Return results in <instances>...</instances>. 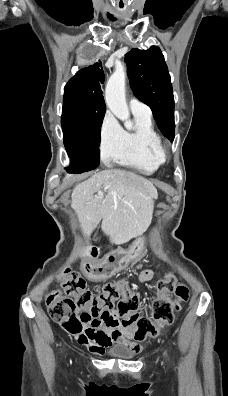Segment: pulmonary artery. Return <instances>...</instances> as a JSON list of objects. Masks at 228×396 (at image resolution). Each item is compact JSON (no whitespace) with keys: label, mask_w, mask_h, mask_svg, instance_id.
Returning <instances> with one entry per match:
<instances>
[{"label":"pulmonary artery","mask_w":228,"mask_h":396,"mask_svg":"<svg viewBox=\"0 0 228 396\" xmlns=\"http://www.w3.org/2000/svg\"><path fill=\"white\" fill-rule=\"evenodd\" d=\"M129 107L133 114H144L151 115L150 108L136 98H131L129 101Z\"/></svg>","instance_id":"e3ab8cb5"}]
</instances>
